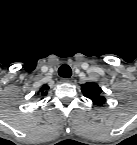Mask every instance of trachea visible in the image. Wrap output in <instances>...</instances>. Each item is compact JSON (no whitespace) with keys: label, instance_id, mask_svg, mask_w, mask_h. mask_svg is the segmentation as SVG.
Returning a JSON list of instances; mask_svg holds the SVG:
<instances>
[{"label":"trachea","instance_id":"obj_1","mask_svg":"<svg viewBox=\"0 0 137 145\" xmlns=\"http://www.w3.org/2000/svg\"><path fill=\"white\" fill-rule=\"evenodd\" d=\"M58 74L63 78H70L72 75V70L69 65L63 64L58 69Z\"/></svg>","mask_w":137,"mask_h":145}]
</instances>
